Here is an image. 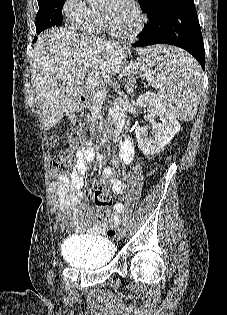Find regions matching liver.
Wrapping results in <instances>:
<instances>
[{"instance_id": "1", "label": "liver", "mask_w": 227, "mask_h": 315, "mask_svg": "<svg viewBox=\"0 0 227 315\" xmlns=\"http://www.w3.org/2000/svg\"><path fill=\"white\" fill-rule=\"evenodd\" d=\"M122 59V52L109 41L63 27L41 33L34 46L31 81L42 106L45 129L55 126L64 113L76 111L88 77L115 71Z\"/></svg>"}]
</instances>
